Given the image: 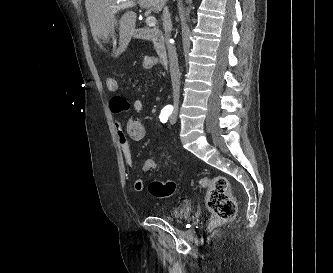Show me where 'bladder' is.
Segmentation results:
<instances>
[{
    "instance_id": "1",
    "label": "bladder",
    "mask_w": 333,
    "mask_h": 273,
    "mask_svg": "<svg viewBox=\"0 0 333 273\" xmlns=\"http://www.w3.org/2000/svg\"><path fill=\"white\" fill-rule=\"evenodd\" d=\"M191 212V205L187 202H181L170 208V211L165 215V218L170 221L187 219L190 217Z\"/></svg>"
}]
</instances>
